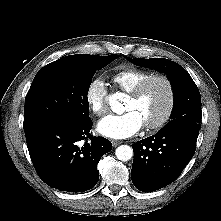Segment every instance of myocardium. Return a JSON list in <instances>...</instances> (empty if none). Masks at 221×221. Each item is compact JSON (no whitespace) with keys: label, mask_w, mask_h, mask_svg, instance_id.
<instances>
[{"label":"myocardium","mask_w":221,"mask_h":221,"mask_svg":"<svg viewBox=\"0 0 221 221\" xmlns=\"http://www.w3.org/2000/svg\"><path fill=\"white\" fill-rule=\"evenodd\" d=\"M153 81H161L166 85L168 91V104L163 115L157 121L151 124L143 125L144 129L147 131H156L162 128L170 120L176 104V90L174 83L168 76L162 74H152L149 77L142 80L129 93V97L133 100L139 99L146 90V88L149 86V84H151Z\"/></svg>","instance_id":"1"}]
</instances>
